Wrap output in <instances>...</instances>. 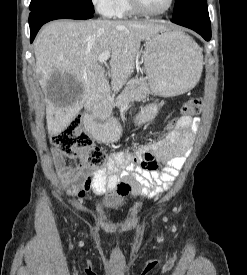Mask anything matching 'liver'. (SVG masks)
<instances>
[{"mask_svg": "<svg viewBox=\"0 0 247 275\" xmlns=\"http://www.w3.org/2000/svg\"><path fill=\"white\" fill-rule=\"evenodd\" d=\"M165 29L152 21L58 20L46 25L34 41L43 92L47 94V81L56 72L72 75L81 86L75 96L46 98L48 134L61 133L83 107L91 109L109 96V81L98 61L101 53L111 52V87L117 92L134 71L141 41Z\"/></svg>", "mask_w": 247, "mask_h": 275, "instance_id": "1", "label": "liver"}]
</instances>
